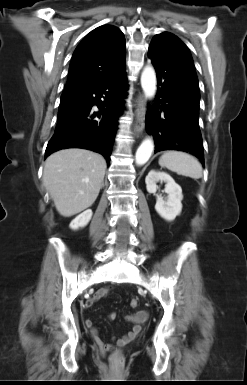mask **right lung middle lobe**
<instances>
[{
  "instance_id": "dd1d6c3e",
  "label": "right lung middle lobe",
  "mask_w": 247,
  "mask_h": 385,
  "mask_svg": "<svg viewBox=\"0 0 247 385\" xmlns=\"http://www.w3.org/2000/svg\"><path fill=\"white\" fill-rule=\"evenodd\" d=\"M78 92H63L61 95V102L73 97L76 95Z\"/></svg>"
}]
</instances>
